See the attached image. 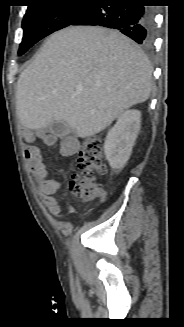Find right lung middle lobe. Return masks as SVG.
<instances>
[{
	"label": "right lung middle lobe",
	"mask_w": 184,
	"mask_h": 327,
	"mask_svg": "<svg viewBox=\"0 0 184 327\" xmlns=\"http://www.w3.org/2000/svg\"><path fill=\"white\" fill-rule=\"evenodd\" d=\"M86 1V3L81 2ZM95 0H49L28 7L23 18V39L18 54L21 56L32 45L47 35L72 25Z\"/></svg>",
	"instance_id": "right-lung-middle-lobe-1"
}]
</instances>
